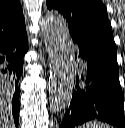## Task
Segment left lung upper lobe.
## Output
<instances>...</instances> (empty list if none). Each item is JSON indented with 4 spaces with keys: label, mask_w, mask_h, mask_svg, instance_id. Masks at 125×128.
Here are the masks:
<instances>
[{
    "label": "left lung upper lobe",
    "mask_w": 125,
    "mask_h": 128,
    "mask_svg": "<svg viewBox=\"0 0 125 128\" xmlns=\"http://www.w3.org/2000/svg\"><path fill=\"white\" fill-rule=\"evenodd\" d=\"M66 18L75 43L92 52L116 54L107 10L101 0H47Z\"/></svg>",
    "instance_id": "5c2ea615"
}]
</instances>
